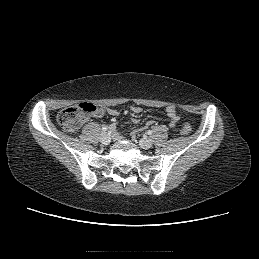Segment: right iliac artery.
I'll return each instance as SVG.
<instances>
[{"label": "right iliac artery", "instance_id": "obj_1", "mask_svg": "<svg viewBox=\"0 0 259 259\" xmlns=\"http://www.w3.org/2000/svg\"><path fill=\"white\" fill-rule=\"evenodd\" d=\"M107 129H108L107 126H103V127H102V131H103V132L107 131Z\"/></svg>", "mask_w": 259, "mask_h": 259}]
</instances>
